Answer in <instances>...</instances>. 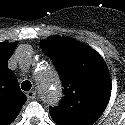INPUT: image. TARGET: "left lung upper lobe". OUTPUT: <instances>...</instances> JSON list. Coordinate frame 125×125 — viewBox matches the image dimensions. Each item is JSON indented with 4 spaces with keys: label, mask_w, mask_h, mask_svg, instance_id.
Instances as JSON below:
<instances>
[{
    "label": "left lung upper lobe",
    "mask_w": 125,
    "mask_h": 125,
    "mask_svg": "<svg viewBox=\"0 0 125 125\" xmlns=\"http://www.w3.org/2000/svg\"><path fill=\"white\" fill-rule=\"evenodd\" d=\"M54 61L64 87L57 107H50L58 125H92L106 108L111 80L101 56L74 39L53 36L40 43Z\"/></svg>",
    "instance_id": "5c2ea615"
}]
</instances>
